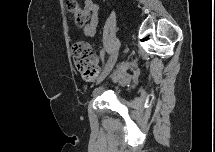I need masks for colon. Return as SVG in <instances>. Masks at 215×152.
I'll return each mask as SVG.
<instances>
[{
  "instance_id": "obj_1",
  "label": "colon",
  "mask_w": 215,
  "mask_h": 152,
  "mask_svg": "<svg viewBox=\"0 0 215 152\" xmlns=\"http://www.w3.org/2000/svg\"><path fill=\"white\" fill-rule=\"evenodd\" d=\"M68 11L73 15L79 26L85 25L89 20V13L81 8L76 1L67 3ZM72 60L76 69L85 80H93L99 73V67L95 62V55L91 46L86 42H77L71 48Z\"/></svg>"
}]
</instances>
